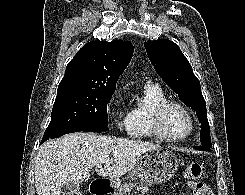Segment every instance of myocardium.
Returning a JSON list of instances; mask_svg holds the SVG:
<instances>
[{
	"label": "myocardium",
	"mask_w": 245,
	"mask_h": 195,
	"mask_svg": "<svg viewBox=\"0 0 245 195\" xmlns=\"http://www.w3.org/2000/svg\"><path fill=\"white\" fill-rule=\"evenodd\" d=\"M178 107L180 108L188 117L189 120V130L186 133V135L182 136V137H171L169 135L166 134V132L163 129V125H162V120H163V116L164 113L167 111L168 108L170 107ZM150 124H151V128L153 130V132L155 133V135L167 142H182L185 141L186 139H188L195 128V121H194V117L191 113V111L181 102L175 101V100H165L161 103H159L158 105H156L150 115Z\"/></svg>",
	"instance_id": "myocardium-1"
}]
</instances>
